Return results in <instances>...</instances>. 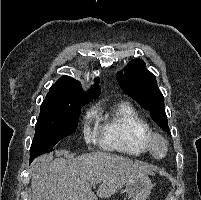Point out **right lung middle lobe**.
Here are the masks:
<instances>
[{
	"mask_svg": "<svg viewBox=\"0 0 201 200\" xmlns=\"http://www.w3.org/2000/svg\"><path fill=\"white\" fill-rule=\"evenodd\" d=\"M91 100L53 101L45 99L41 104L40 114L35 125V135L30 149V156L47 153L39 147L51 148L67 135L73 133L78 125L81 107Z\"/></svg>",
	"mask_w": 201,
	"mask_h": 200,
	"instance_id": "1",
	"label": "right lung middle lobe"
}]
</instances>
